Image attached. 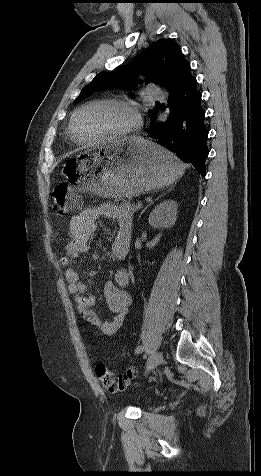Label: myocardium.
Instances as JSON below:
<instances>
[{
  "mask_svg": "<svg viewBox=\"0 0 261 476\" xmlns=\"http://www.w3.org/2000/svg\"><path fill=\"white\" fill-rule=\"evenodd\" d=\"M97 104H113V105H118L127 109L131 113V116H132L131 123L124 129L114 133L102 135L98 138L90 139V140L82 139L81 137L78 136L76 132L75 124H76L77 117L86 108L91 107L93 105H97ZM140 119L141 117L137 107L129 101L119 99V98H110V97L96 98L84 103L83 105L79 106L74 111L69 123V131L71 133L72 139L76 143L82 144V145H92V144L104 142L106 140L119 139V138H123L130 135L139 126Z\"/></svg>",
  "mask_w": 261,
  "mask_h": 476,
  "instance_id": "f54148a6",
  "label": "myocardium"
}]
</instances>
